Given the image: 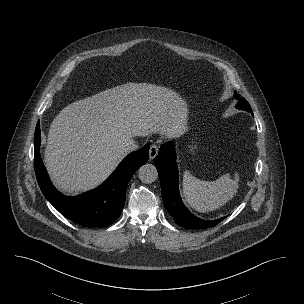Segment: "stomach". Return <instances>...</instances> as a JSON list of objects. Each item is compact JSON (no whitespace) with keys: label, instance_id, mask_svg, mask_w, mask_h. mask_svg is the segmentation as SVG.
<instances>
[{"label":"stomach","instance_id":"0dacf381","mask_svg":"<svg viewBox=\"0 0 304 304\" xmlns=\"http://www.w3.org/2000/svg\"><path fill=\"white\" fill-rule=\"evenodd\" d=\"M197 149H198V146H197V144L194 143V142H193L192 145L189 146V150H190L191 153H193V154L196 152Z\"/></svg>","mask_w":304,"mask_h":304}]
</instances>
